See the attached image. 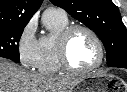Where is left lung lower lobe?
I'll use <instances>...</instances> for the list:
<instances>
[{
  "mask_svg": "<svg viewBox=\"0 0 127 92\" xmlns=\"http://www.w3.org/2000/svg\"><path fill=\"white\" fill-rule=\"evenodd\" d=\"M110 67H121L127 69V58L119 59L113 63L108 64Z\"/></svg>",
  "mask_w": 127,
  "mask_h": 92,
  "instance_id": "1",
  "label": "left lung lower lobe"
}]
</instances>
